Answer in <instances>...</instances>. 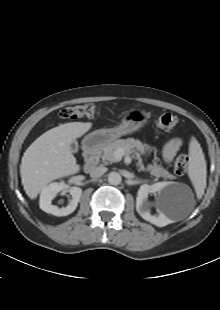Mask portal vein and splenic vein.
I'll return each instance as SVG.
<instances>
[{
    "mask_svg": "<svg viewBox=\"0 0 220 310\" xmlns=\"http://www.w3.org/2000/svg\"><path fill=\"white\" fill-rule=\"evenodd\" d=\"M124 154H125V150L122 148L117 149L115 152V156L119 159H121Z\"/></svg>",
    "mask_w": 220,
    "mask_h": 310,
    "instance_id": "obj_1",
    "label": "portal vein and splenic vein"
}]
</instances>
